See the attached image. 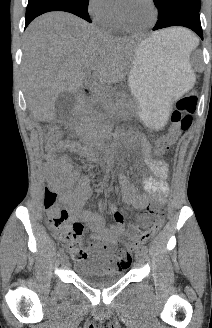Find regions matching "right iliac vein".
Returning a JSON list of instances; mask_svg holds the SVG:
<instances>
[{
  "label": "right iliac vein",
  "mask_w": 212,
  "mask_h": 328,
  "mask_svg": "<svg viewBox=\"0 0 212 328\" xmlns=\"http://www.w3.org/2000/svg\"><path fill=\"white\" fill-rule=\"evenodd\" d=\"M61 260H62V263H63L64 265H67V264H68V258H67V256H66L65 254H63V255L61 256Z\"/></svg>",
  "instance_id": "63e3f726"
}]
</instances>
